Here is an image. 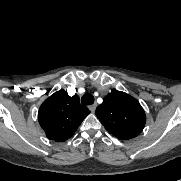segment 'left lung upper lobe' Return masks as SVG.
Here are the masks:
<instances>
[{"label": "left lung upper lobe", "mask_w": 181, "mask_h": 181, "mask_svg": "<svg viewBox=\"0 0 181 181\" xmlns=\"http://www.w3.org/2000/svg\"><path fill=\"white\" fill-rule=\"evenodd\" d=\"M96 115L104 127L121 140L138 136L146 123L140 103L125 92L113 89L96 108Z\"/></svg>", "instance_id": "left-lung-upper-lobe-1"}]
</instances>
